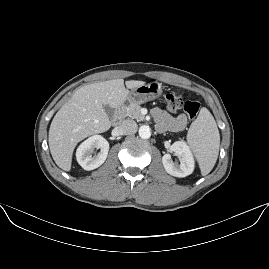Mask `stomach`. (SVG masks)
<instances>
[{
  "instance_id": "0dacf381",
  "label": "stomach",
  "mask_w": 269,
  "mask_h": 269,
  "mask_svg": "<svg viewBox=\"0 0 269 269\" xmlns=\"http://www.w3.org/2000/svg\"><path fill=\"white\" fill-rule=\"evenodd\" d=\"M162 85L154 82L152 84L146 85L142 84L136 86L130 90L125 102L128 104H143L150 99L157 97L161 92Z\"/></svg>"
}]
</instances>
